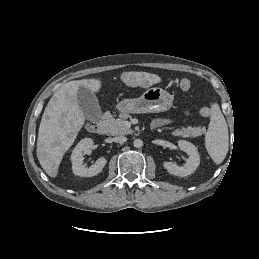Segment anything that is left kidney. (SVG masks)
Segmentation results:
<instances>
[{
	"mask_svg": "<svg viewBox=\"0 0 259 259\" xmlns=\"http://www.w3.org/2000/svg\"><path fill=\"white\" fill-rule=\"evenodd\" d=\"M179 148L188 154V159L184 166H178L174 162H164L163 167L172 175L185 177L192 174L200 164V156L197 148L185 140L178 141Z\"/></svg>",
	"mask_w": 259,
	"mask_h": 259,
	"instance_id": "5707ae66",
	"label": "left kidney"
}]
</instances>
